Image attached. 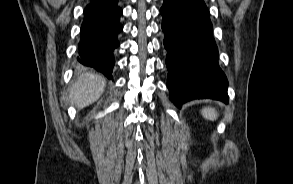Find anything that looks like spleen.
<instances>
[{
    "label": "spleen",
    "mask_w": 293,
    "mask_h": 184,
    "mask_svg": "<svg viewBox=\"0 0 293 184\" xmlns=\"http://www.w3.org/2000/svg\"><path fill=\"white\" fill-rule=\"evenodd\" d=\"M201 114L205 119L214 121L218 117V113L215 108L212 107H205L201 110Z\"/></svg>",
    "instance_id": "spleen-1"
}]
</instances>
